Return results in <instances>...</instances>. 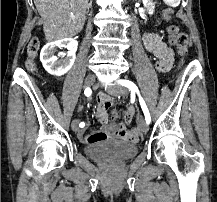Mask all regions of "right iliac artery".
Returning a JSON list of instances; mask_svg holds the SVG:
<instances>
[{
	"label": "right iliac artery",
	"mask_w": 217,
	"mask_h": 202,
	"mask_svg": "<svg viewBox=\"0 0 217 202\" xmlns=\"http://www.w3.org/2000/svg\"><path fill=\"white\" fill-rule=\"evenodd\" d=\"M91 93H92V91H91V89L89 88V87H87L86 89H85V91H84V94L87 96V97H89L90 95H91ZM85 126V123L84 122H81L80 124H79V127H81V128H83Z\"/></svg>",
	"instance_id": "right-iliac-artery-1"
}]
</instances>
